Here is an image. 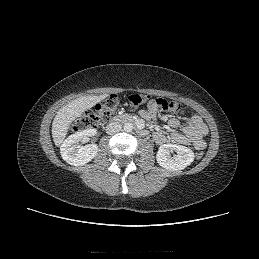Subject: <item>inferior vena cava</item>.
<instances>
[{"label":"inferior vena cava","instance_id":"inferior-vena-cava-1","mask_svg":"<svg viewBox=\"0 0 259 259\" xmlns=\"http://www.w3.org/2000/svg\"><path fill=\"white\" fill-rule=\"evenodd\" d=\"M122 130V125L119 122H111L106 126V133L109 135L116 134Z\"/></svg>","mask_w":259,"mask_h":259}]
</instances>
